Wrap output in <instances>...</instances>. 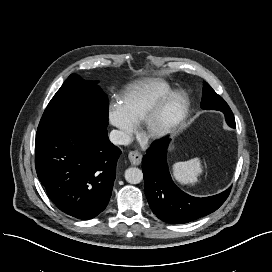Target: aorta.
Instances as JSON below:
<instances>
[{
  "label": "aorta",
  "mask_w": 272,
  "mask_h": 272,
  "mask_svg": "<svg viewBox=\"0 0 272 272\" xmlns=\"http://www.w3.org/2000/svg\"><path fill=\"white\" fill-rule=\"evenodd\" d=\"M125 180L130 184H138L143 180L142 170L136 167L128 168L125 171Z\"/></svg>",
  "instance_id": "762f6f07"
}]
</instances>
